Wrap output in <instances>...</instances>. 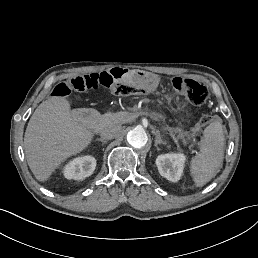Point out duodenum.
I'll return each mask as SVG.
<instances>
[{
    "label": "duodenum",
    "instance_id": "obj_1",
    "mask_svg": "<svg viewBox=\"0 0 258 258\" xmlns=\"http://www.w3.org/2000/svg\"><path fill=\"white\" fill-rule=\"evenodd\" d=\"M104 79L110 83L126 82L135 78V72L126 67H113L103 73Z\"/></svg>",
    "mask_w": 258,
    "mask_h": 258
}]
</instances>
